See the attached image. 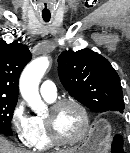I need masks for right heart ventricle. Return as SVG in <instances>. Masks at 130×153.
I'll list each match as a JSON object with an SVG mask.
<instances>
[{
	"label": "right heart ventricle",
	"mask_w": 130,
	"mask_h": 153,
	"mask_svg": "<svg viewBox=\"0 0 130 153\" xmlns=\"http://www.w3.org/2000/svg\"><path fill=\"white\" fill-rule=\"evenodd\" d=\"M47 102H53L54 100L48 99L44 97ZM31 125H32V147L37 151H44L53 146V141L51 140L46 124L44 116L41 115H33L31 117Z\"/></svg>",
	"instance_id": "obj_1"
}]
</instances>
